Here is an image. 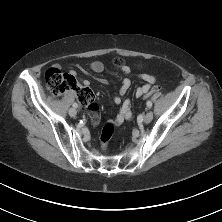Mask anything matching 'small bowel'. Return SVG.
I'll return each mask as SVG.
<instances>
[{
    "instance_id": "1",
    "label": "small bowel",
    "mask_w": 222,
    "mask_h": 222,
    "mask_svg": "<svg viewBox=\"0 0 222 222\" xmlns=\"http://www.w3.org/2000/svg\"><path fill=\"white\" fill-rule=\"evenodd\" d=\"M77 68H80L79 65H76ZM89 69L91 72L99 74L102 73L105 69L104 64L101 61H93L89 64ZM72 74H75L74 71L71 72ZM121 73L124 75H128L130 73V69L127 66H124L121 68ZM114 75L118 76L121 81V85L119 88L118 95H116L113 98V103L116 105H120V109L114 119H112L110 122L114 125H121L125 121H129L132 118V112H131V102L128 99H124V96L128 92L131 86V81L128 77L122 76L118 73H113ZM140 80L144 82V84L140 87H138L135 90V96L137 98L143 97L147 91L151 90L152 84L156 81L155 76L147 73H142L138 76ZM98 81L102 84H107L108 81L106 79H98ZM81 83L87 87L89 85V80L87 78L81 79ZM91 120L93 124H98L100 121V116L97 112L91 113Z\"/></svg>"
}]
</instances>
